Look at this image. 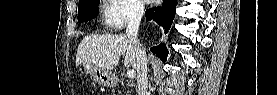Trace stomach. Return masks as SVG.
Listing matches in <instances>:
<instances>
[{"instance_id":"stomach-1","label":"stomach","mask_w":277,"mask_h":95,"mask_svg":"<svg viewBox=\"0 0 277 95\" xmlns=\"http://www.w3.org/2000/svg\"><path fill=\"white\" fill-rule=\"evenodd\" d=\"M83 68L85 73L98 82V84L106 87L115 85V77L112 72L103 70L89 62H84Z\"/></svg>"}]
</instances>
